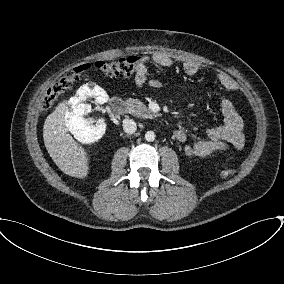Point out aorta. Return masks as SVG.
Wrapping results in <instances>:
<instances>
[{
    "mask_svg": "<svg viewBox=\"0 0 284 284\" xmlns=\"http://www.w3.org/2000/svg\"><path fill=\"white\" fill-rule=\"evenodd\" d=\"M155 137H156V135L153 131H147L145 133V139L148 142H153L155 140Z\"/></svg>",
    "mask_w": 284,
    "mask_h": 284,
    "instance_id": "1",
    "label": "aorta"
}]
</instances>
